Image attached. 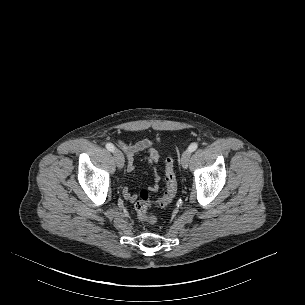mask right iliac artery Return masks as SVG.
<instances>
[{
	"label": "right iliac artery",
	"instance_id": "1",
	"mask_svg": "<svg viewBox=\"0 0 305 305\" xmlns=\"http://www.w3.org/2000/svg\"><path fill=\"white\" fill-rule=\"evenodd\" d=\"M106 148L111 152H113L115 150V147L112 143H107Z\"/></svg>",
	"mask_w": 305,
	"mask_h": 305
}]
</instances>
